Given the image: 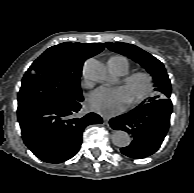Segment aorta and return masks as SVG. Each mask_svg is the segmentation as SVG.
I'll return each mask as SVG.
<instances>
[{
  "label": "aorta",
  "instance_id": "aorta-1",
  "mask_svg": "<svg viewBox=\"0 0 194 193\" xmlns=\"http://www.w3.org/2000/svg\"><path fill=\"white\" fill-rule=\"evenodd\" d=\"M84 75L93 80L99 82H109L112 79L107 67L100 61L90 58L86 60L83 67ZM112 143L117 147H126L130 144V137L127 132L117 130L112 134Z\"/></svg>",
  "mask_w": 194,
  "mask_h": 193
}]
</instances>
